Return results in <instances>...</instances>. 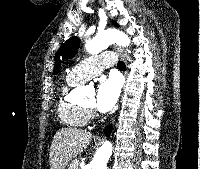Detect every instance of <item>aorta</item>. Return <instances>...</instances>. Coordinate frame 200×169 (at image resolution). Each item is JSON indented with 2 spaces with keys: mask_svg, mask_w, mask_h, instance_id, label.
Here are the masks:
<instances>
[{
  "mask_svg": "<svg viewBox=\"0 0 200 169\" xmlns=\"http://www.w3.org/2000/svg\"><path fill=\"white\" fill-rule=\"evenodd\" d=\"M129 38L117 30H107L98 33L93 39L86 41L85 49L89 54H97L108 48L111 44L128 46ZM77 92L85 95L88 92L86 87L77 88ZM112 155V144L106 141L95 153L92 162V169H107V163Z\"/></svg>",
  "mask_w": 200,
  "mask_h": 169,
  "instance_id": "762f6f07",
  "label": "aorta"
}]
</instances>
